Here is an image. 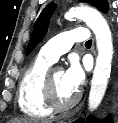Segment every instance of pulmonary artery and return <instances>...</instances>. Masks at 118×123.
Instances as JSON below:
<instances>
[{
	"instance_id": "obj_1",
	"label": "pulmonary artery",
	"mask_w": 118,
	"mask_h": 123,
	"mask_svg": "<svg viewBox=\"0 0 118 123\" xmlns=\"http://www.w3.org/2000/svg\"><path fill=\"white\" fill-rule=\"evenodd\" d=\"M89 38L88 29L76 27L69 31L62 32L47 42L40 49V55L51 63L66 53L75 42L86 41Z\"/></svg>"
}]
</instances>
